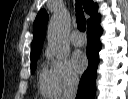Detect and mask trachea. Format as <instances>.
Wrapping results in <instances>:
<instances>
[{
  "label": "trachea",
  "mask_w": 128,
  "mask_h": 99,
  "mask_svg": "<svg viewBox=\"0 0 128 99\" xmlns=\"http://www.w3.org/2000/svg\"><path fill=\"white\" fill-rule=\"evenodd\" d=\"M76 22L77 27L80 31L84 32L86 30V19L82 10L80 3H76Z\"/></svg>",
  "instance_id": "1"
}]
</instances>
